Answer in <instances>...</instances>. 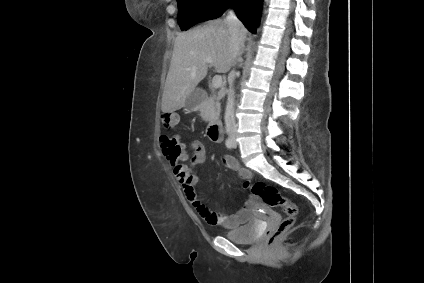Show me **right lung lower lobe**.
I'll list each match as a JSON object with an SVG mask.
<instances>
[{
	"instance_id": "1",
	"label": "right lung lower lobe",
	"mask_w": 424,
	"mask_h": 283,
	"mask_svg": "<svg viewBox=\"0 0 424 283\" xmlns=\"http://www.w3.org/2000/svg\"><path fill=\"white\" fill-rule=\"evenodd\" d=\"M263 0H234L232 7L235 9L237 17L245 27L253 34L260 22Z\"/></svg>"
}]
</instances>
